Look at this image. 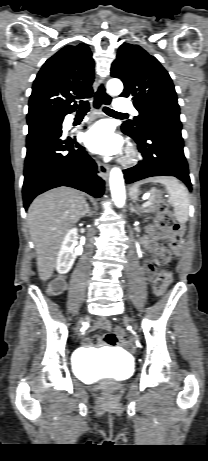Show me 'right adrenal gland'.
I'll list each match as a JSON object with an SVG mask.
<instances>
[{
  "instance_id": "obj_1",
  "label": "right adrenal gland",
  "mask_w": 208,
  "mask_h": 461,
  "mask_svg": "<svg viewBox=\"0 0 208 461\" xmlns=\"http://www.w3.org/2000/svg\"><path fill=\"white\" fill-rule=\"evenodd\" d=\"M84 216H90V217L93 216V211H91V209H90V207H89L88 204H87V211H86V213H85Z\"/></svg>"
}]
</instances>
